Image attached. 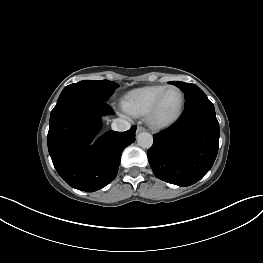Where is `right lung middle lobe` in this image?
Wrapping results in <instances>:
<instances>
[{
    "label": "right lung middle lobe",
    "mask_w": 263,
    "mask_h": 263,
    "mask_svg": "<svg viewBox=\"0 0 263 263\" xmlns=\"http://www.w3.org/2000/svg\"><path fill=\"white\" fill-rule=\"evenodd\" d=\"M119 85L113 81L84 80L66 86L60 94L57 104L71 98L95 99L106 102Z\"/></svg>",
    "instance_id": "1"
}]
</instances>
